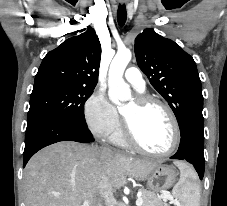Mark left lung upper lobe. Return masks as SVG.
<instances>
[{
	"instance_id": "obj_1",
	"label": "left lung upper lobe",
	"mask_w": 227,
	"mask_h": 206,
	"mask_svg": "<svg viewBox=\"0 0 227 206\" xmlns=\"http://www.w3.org/2000/svg\"><path fill=\"white\" fill-rule=\"evenodd\" d=\"M138 66L173 110L182 132L204 125L202 86L196 63L177 43L145 29L135 39Z\"/></svg>"
}]
</instances>
